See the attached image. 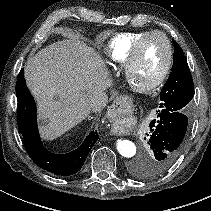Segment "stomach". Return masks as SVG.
I'll list each match as a JSON object with an SVG mask.
<instances>
[{
    "label": "stomach",
    "mask_w": 211,
    "mask_h": 211,
    "mask_svg": "<svg viewBox=\"0 0 211 211\" xmlns=\"http://www.w3.org/2000/svg\"><path fill=\"white\" fill-rule=\"evenodd\" d=\"M132 111V104L127 100H120L114 104L111 113L112 115H129Z\"/></svg>",
    "instance_id": "obj_1"
}]
</instances>
